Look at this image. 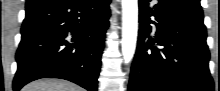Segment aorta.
<instances>
[{"label": "aorta", "instance_id": "aorta-1", "mask_svg": "<svg viewBox=\"0 0 220 91\" xmlns=\"http://www.w3.org/2000/svg\"><path fill=\"white\" fill-rule=\"evenodd\" d=\"M122 2V54L129 63L135 53L138 32V0Z\"/></svg>", "mask_w": 220, "mask_h": 91}]
</instances>
